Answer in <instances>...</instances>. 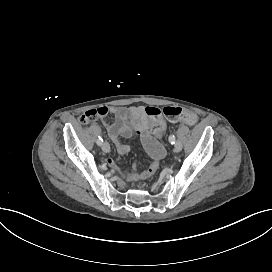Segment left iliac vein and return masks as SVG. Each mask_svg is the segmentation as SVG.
<instances>
[{
  "label": "left iliac vein",
  "mask_w": 272,
  "mask_h": 272,
  "mask_svg": "<svg viewBox=\"0 0 272 272\" xmlns=\"http://www.w3.org/2000/svg\"><path fill=\"white\" fill-rule=\"evenodd\" d=\"M174 150H175V152H180L182 150V145L180 142L177 141L175 143Z\"/></svg>",
  "instance_id": "1"
}]
</instances>
